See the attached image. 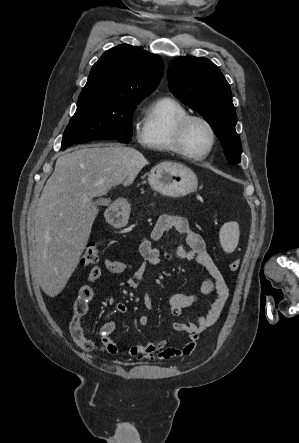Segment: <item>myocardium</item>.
I'll list each match as a JSON object with an SVG mask.
<instances>
[{"label": "myocardium", "instance_id": "f54148a6", "mask_svg": "<svg viewBox=\"0 0 299 443\" xmlns=\"http://www.w3.org/2000/svg\"><path fill=\"white\" fill-rule=\"evenodd\" d=\"M193 120H198V121L202 122L203 124H205L206 127L208 128V130L210 132V136H211V142H210L208 149L201 154H192V153L188 152L187 149L185 148V144H184V136H185L186 129H187L189 123ZM173 141H174V146H175L176 152L178 154H180L183 157L188 158V159L201 160V159L206 158L213 151V149L216 145L217 136H216V132H215L213 125L210 123V121L208 119H206L205 117H203L201 115L187 114V115L183 116L182 118H180L178 120V122L176 123L175 129H174Z\"/></svg>", "mask_w": 299, "mask_h": 443}]
</instances>
